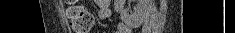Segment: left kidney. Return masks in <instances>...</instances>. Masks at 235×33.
I'll return each instance as SVG.
<instances>
[{"mask_svg":"<svg viewBox=\"0 0 235 33\" xmlns=\"http://www.w3.org/2000/svg\"><path fill=\"white\" fill-rule=\"evenodd\" d=\"M137 4L133 11H128L125 8L126 0H115L114 9L120 14L121 20L130 26L140 24L148 9L149 0H136Z\"/></svg>","mask_w":235,"mask_h":33,"instance_id":"5707ae66","label":"left kidney"}]
</instances>
